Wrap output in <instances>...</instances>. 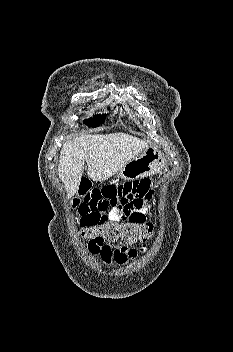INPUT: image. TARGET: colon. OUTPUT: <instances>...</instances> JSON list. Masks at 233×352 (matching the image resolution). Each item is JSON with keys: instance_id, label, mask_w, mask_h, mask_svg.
<instances>
[{"instance_id": "colon-1", "label": "colon", "mask_w": 233, "mask_h": 352, "mask_svg": "<svg viewBox=\"0 0 233 352\" xmlns=\"http://www.w3.org/2000/svg\"><path fill=\"white\" fill-rule=\"evenodd\" d=\"M154 233V225L150 222L135 224L120 223L107 219L90 221L81 224L80 235L91 241H121L123 245H131L148 240Z\"/></svg>"}]
</instances>
